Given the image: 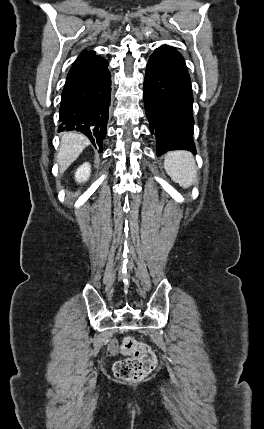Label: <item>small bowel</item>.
I'll return each instance as SVG.
<instances>
[{
    "instance_id": "small-bowel-1",
    "label": "small bowel",
    "mask_w": 264,
    "mask_h": 429,
    "mask_svg": "<svg viewBox=\"0 0 264 429\" xmlns=\"http://www.w3.org/2000/svg\"><path fill=\"white\" fill-rule=\"evenodd\" d=\"M109 350L113 354L117 352V342L115 340L111 341L109 345Z\"/></svg>"
}]
</instances>
